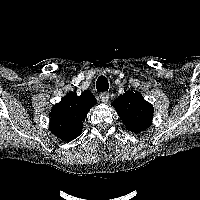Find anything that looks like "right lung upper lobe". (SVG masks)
I'll list each match as a JSON object with an SVG mask.
<instances>
[{
    "label": "right lung upper lobe",
    "mask_w": 200,
    "mask_h": 200,
    "mask_svg": "<svg viewBox=\"0 0 200 200\" xmlns=\"http://www.w3.org/2000/svg\"><path fill=\"white\" fill-rule=\"evenodd\" d=\"M95 103L96 99L89 91L79 96L74 92L63 97L50 113V130L63 141L76 138L83 128L82 122Z\"/></svg>",
    "instance_id": "right-lung-upper-lobe-1"
}]
</instances>
